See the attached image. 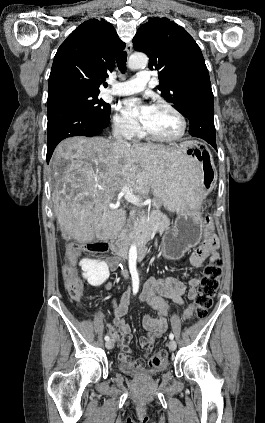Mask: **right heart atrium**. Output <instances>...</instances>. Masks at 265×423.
Listing matches in <instances>:
<instances>
[{"label":"right heart atrium","mask_w":265,"mask_h":423,"mask_svg":"<svg viewBox=\"0 0 265 423\" xmlns=\"http://www.w3.org/2000/svg\"><path fill=\"white\" fill-rule=\"evenodd\" d=\"M113 128L122 137L132 139L140 132V127L134 120L121 113H115L113 116Z\"/></svg>","instance_id":"right-heart-atrium-1"}]
</instances>
